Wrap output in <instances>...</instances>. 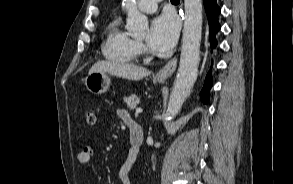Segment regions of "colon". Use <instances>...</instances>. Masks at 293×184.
Instances as JSON below:
<instances>
[{
    "instance_id": "colon-1",
    "label": "colon",
    "mask_w": 293,
    "mask_h": 184,
    "mask_svg": "<svg viewBox=\"0 0 293 184\" xmlns=\"http://www.w3.org/2000/svg\"><path fill=\"white\" fill-rule=\"evenodd\" d=\"M95 122H96V114L94 113V111H92V110L87 111V113H86V123L88 125L92 126V125L95 124Z\"/></svg>"
}]
</instances>
